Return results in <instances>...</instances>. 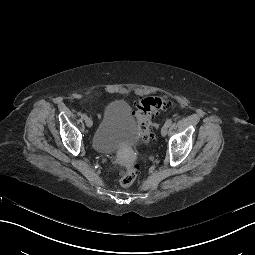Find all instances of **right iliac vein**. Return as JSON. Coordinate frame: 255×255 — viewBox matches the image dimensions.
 Masks as SVG:
<instances>
[{"label": "right iliac vein", "instance_id": "right-iliac-vein-1", "mask_svg": "<svg viewBox=\"0 0 255 255\" xmlns=\"http://www.w3.org/2000/svg\"><path fill=\"white\" fill-rule=\"evenodd\" d=\"M85 123H86V126L89 128L92 127V125H93V121L91 118H86Z\"/></svg>", "mask_w": 255, "mask_h": 255}]
</instances>
